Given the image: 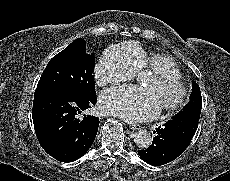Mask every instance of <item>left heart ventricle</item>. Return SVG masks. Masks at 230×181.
Here are the masks:
<instances>
[{
    "label": "left heart ventricle",
    "instance_id": "left-heart-ventricle-1",
    "mask_svg": "<svg viewBox=\"0 0 230 181\" xmlns=\"http://www.w3.org/2000/svg\"><path fill=\"white\" fill-rule=\"evenodd\" d=\"M143 83L141 95L152 108L170 102L177 95V88L171 81L160 79L150 84Z\"/></svg>",
    "mask_w": 230,
    "mask_h": 181
}]
</instances>
